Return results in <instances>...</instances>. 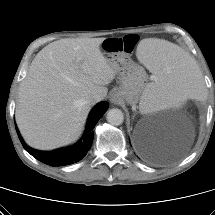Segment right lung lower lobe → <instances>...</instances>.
Wrapping results in <instances>:
<instances>
[{"label": "right lung lower lobe", "instance_id": "98d812e1", "mask_svg": "<svg viewBox=\"0 0 215 215\" xmlns=\"http://www.w3.org/2000/svg\"><path fill=\"white\" fill-rule=\"evenodd\" d=\"M108 109V102L103 101L98 103L90 112L86 130L82 136V138L70 147H65L53 151H39L33 149L25 144L24 140L22 139L17 126L16 131L18 137L24 147V149L31 154L33 157L38 159L44 164L50 166H63L69 165L75 162L82 160L85 155L87 154L88 150L90 149L93 141V132L96 123L99 119L103 116L105 111Z\"/></svg>", "mask_w": 215, "mask_h": 215}]
</instances>
